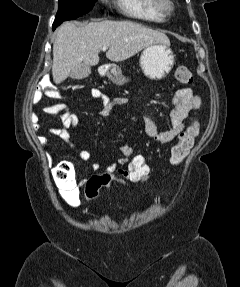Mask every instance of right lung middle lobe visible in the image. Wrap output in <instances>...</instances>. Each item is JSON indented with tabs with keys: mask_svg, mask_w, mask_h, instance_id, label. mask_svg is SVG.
<instances>
[{
	"mask_svg": "<svg viewBox=\"0 0 240 287\" xmlns=\"http://www.w3.org/2000/svg\"><path fill=\"white\" fill-rule=\"evenodd\" d=\"M96 1L97 0H59L53 30L64 21L76 19L88 13Z\"/></svg>",
	"mask_w": 240,
	"mask_h": 287,
	"instance_id": "1",
	"label": "right lung middle lobe"
}]
</instances>
